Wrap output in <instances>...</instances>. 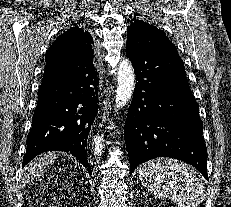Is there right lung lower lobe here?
Segmentation results:
<instances>
[{"instance_id":"1","label":"right lung lower lobe","mask_w":231,"mask_h":207,"mask_svg":"<svg viewBox=\"0 0 231 207\" xmlns=\"http://www.w3.org/2000/svg\"><path fill=\"white\" fill-rule=\"evenodd\" d=\"M93 58L71 71L45 69L23 167L43 152L65 151L91 174L87 140L98 113L99 84Z\"/></svg>"}]
</instances>
